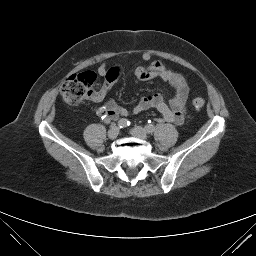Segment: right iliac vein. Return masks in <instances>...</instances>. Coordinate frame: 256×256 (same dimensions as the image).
Instances as JSON below:
<instances>
[{
    "label": "right iliac vein",
    "mask_w": 256,
    "mask_h": 256,
    "mask_svg": "<svg viewBox=\"0 0 256 256\" xmlns=\"http://www.w3.org/2000/svg\"><path fill=\"white\" fill-rule=\"evenodd\" d=\"M119 128L117 126H112L109 131H108V137L111 140H114L117 138L118 134H119Z\"/></svg>",
    "instance_id": "right-iliac-vein-1"
}]
</instances>
